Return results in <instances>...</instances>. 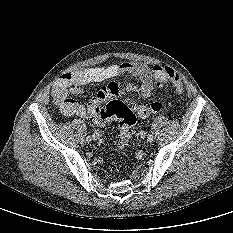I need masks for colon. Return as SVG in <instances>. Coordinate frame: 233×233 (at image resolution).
<instances>
[{
  "label": "colon",
  "instance_id": "1",
  "mask_svg": "<svg viewBox=\"0 0 233 233\" xmlns=\"http://www.w3.org/2000/svg\"><path fill=\"white\" fill-rule=\"evenodd\" d=\"M153 77L158 86H164L168 83L173 84L176 92L182 93L184 85L179 75L170 67L155 66L153 69ZM129 107L123 101L113 99L105 107L94 105L91 107V118L94 121H106L108 119H117L120 124V138L116 144V150L123 153L127 150L132 129L136 123L137 116L146 118L152 113H156L162 109L160 101H153L148 105L136 104L130 101Z\"/></svg>",
  "mask_w": 233,
  "mask_h": 233
}]
</instances>
